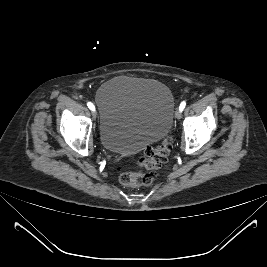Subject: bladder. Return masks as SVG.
Returning a JSON list of instances; mask_svg holds the SVG:
<instances>
[{
  "mask_svg": "<svg viewBox=\"0 0 267 267\" xmlns=\"http://www.w3.org/2000/svg\"><path fill=\"white\" fill-rule=\"evenodd\" d=\"M99 133L104 148L132 153L162 139L173 121L170 89L154 80L118 76L96 94Z\"/></svg>",
  "mask_w": 267,
  "mask_h": 267,
  "instance_id": "31cf9c89",
  "label": "bladder"
}]
</instances>
